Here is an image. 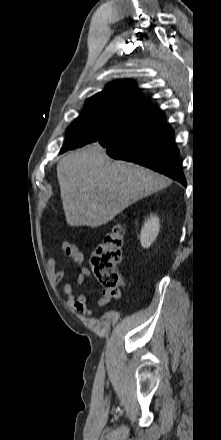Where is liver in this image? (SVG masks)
I'll return each instance as SVG.
<instances>
[{
    "instance_id": "liver-1",
    "label": "liver",
    "mask_w": 221,
    "mask_h": 440,
    "mask_svg": "<svg viewBox=\"0 0 221 440\" xmlns=\"http://www.w3.org/2000/svg\"><path fill=\"white\" fill-rule=\"evenodd\" d=\"M61 200L71 226L98 227L171 180L139 165L112 161L99 143L65 156L57 165Z\"/></svg>"
}]
</instances>
